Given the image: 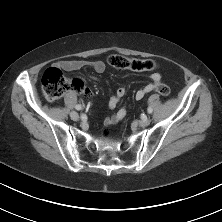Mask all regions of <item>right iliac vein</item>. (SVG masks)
<instances>
[{
  "mask_svg": "<svg viewBox=\"0 0 222 222\" xmlns=\"http://www.w3.org/2000/svg\"><path fill=\"white\" fill-rule=\"evenodd\" d=\"M70 117H71V119L74 120V121H77V120L79 119V115H78V113H77L76 111H72V112L70 113Z\"/></svg>",
  "mask_w": 222,
  "mask_h": 222,
  "instance_id": "right-iliac-vein-1",
  "label": "right iliac vein"
}]
</instances>
